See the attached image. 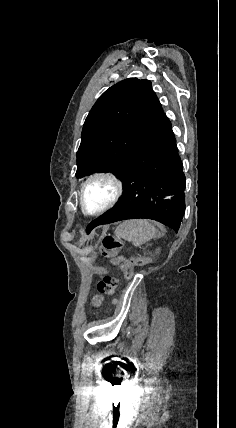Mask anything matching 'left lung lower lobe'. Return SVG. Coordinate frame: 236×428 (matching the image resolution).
<instances>
[{
	"label": "left lung lower lobe",
	"mask_w": 236,
	"mask_h": 428,
	"mask_svg": "<svg viewBox=\"0 0 236 428\" xmlns=\"http://www.w3.org/2000/svg\"><path fill=\"white\" fill-rule=\"evenodd\" d=\"M120 201L93 220L87 233L102 224L126 219H153L176 232L185 210V176L176 139L168 117L163 114L149 130L125 169ZM165 195H175L164 201Z\"/></svg>",
	"instance_id": "left-lung-lower-lobe-1"
}]
</instances>
